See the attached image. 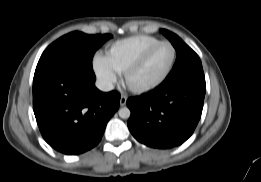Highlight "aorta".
<instances>
[{
    "instance_id": "762f6f07",
    "label": "aorta",
    "mask_w": 261,
    "mask_h": 182,
    "mask_svg": "<svg viewBox=\"0 0 261 182\" xmlns=\"http://www.w3.org/2000/svg\"><path fill=\"white\" fill-rule=\"evenodd\" d=\"M118 113L122 119H128L131 114L129 108H127V107H123V108L119 109Z\"/></svg>"
}]
</instances>
